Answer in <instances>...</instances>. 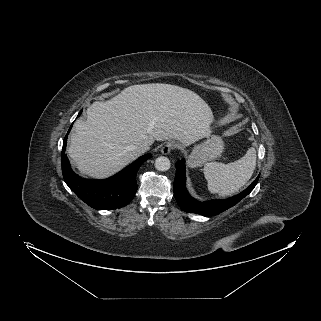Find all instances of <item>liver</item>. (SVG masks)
Instances as JSON below:
<instances>
[{
	"label": "liver",
	"mask_w": 321,
	"mask_h": 321,
	"mask_svg": "<svg viewBox=\"0 0 321 321\" xmlns=\"http://www.w3.org/2000/svg\"><path fill=\"white\" fill-rule=\"evenodd\" d=\"M77 120L68 154L89 177L106 178L140 156L136 146L155 140L190 145L211 132L214 116L195 92L176 85H133L105 102H94Z\"/></svg>",
	"instance_id": "6515ba94"
}]
</instances>
